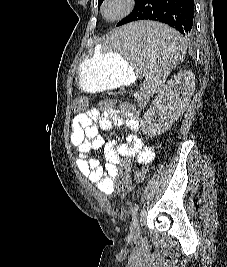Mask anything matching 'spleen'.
I'll use <instances>...</instances> for the list:
<instances>
[{
  "label": "spleen",
  "mask_w": 227,
  "mask_h": 267,
  "mask_svg": "<svg viewBox=\"0 0 227 267\" xmlns=\"http://www.w3.org/2000/svg\"><path fill=\"white\" fill-rule=\"evenodd\" d=\"M96 47H106V55H128V59H140L148 88L153 91L163 84L170 72L186 53L187 44L166 22L158 19H133L117 25L116 33L100 36Z\"/></svg>",
  "instance_id": "obj_1"
}]
</instances>
